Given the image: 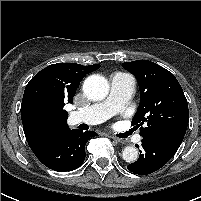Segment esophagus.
Segmentation results:
<instances>
[{"mask_svg": "<svg viewBox=\"0 0 201 201\" xmlns=\"http://www.w3.org/2000/svg\"><path fill=\"white\" fill-rule=\"evenodd\" d=\"M111 138L113 140H115L116 142L120 143V144H125L126 143V141L124 139L117 138V137H114V136H112Z\"/></svg>", "mask_w": 201, "mask_h": 201, "instance_id": "1", "label": "esophagus"}]
</instances>
